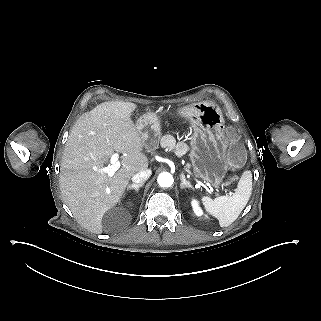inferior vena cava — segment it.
Segmentation results:
<instances>
[{
    "mask_svg": "<svg viewBox=\"0 0 321 321\" xmlns=\"http://www.w3.org/2000/svg\"><path fill=\"white\" fill-rule=\"evenodd\" d=\"M152 174L150 169L138 172L132 176V181L136 184L144 183Z\"/></svg>",
    "mask_w": 321,
    "mask_h": 321,
    "instance_id": "1",
    "label": "inferior vena cava"
}]
</instances>
